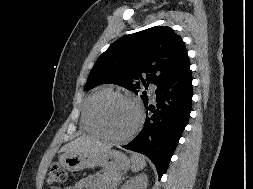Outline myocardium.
<instances>
[{"label":"myocardium","mask_w":253,"mask_h":189,"mask_svg":"<svg viewBox=\"0 0 253 189\" xmlns=\"http://www.w3.org/2000/svg\"><path fill=\"white\" fill-rule=\"evenodd\" d=\"M110 99H120L122 101H125L129 104H131L136 112H137V122L135 124V126L133 127V129L126 135L124 136H115L113 134H111L108 129L106 128L103 119L101 117V107L103 106V104L110 100ZM92 116H93V120L96 124V126L98 127V129L100 130V132L102 133V135L112 141L115 142H126L129 141L130 139H132L141 129L143 121H144V113L143 110L141 108V106L139 105V103L131 98L130 96H127L125 94H122L120 92H115V91H110L108 93H105L103 95H101L94 103L93 108H92Z\"/></svg>","instance_id":"f54148a6"}]
</instances>
